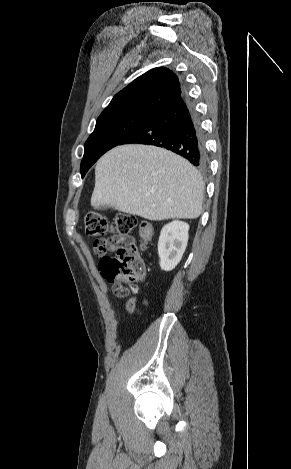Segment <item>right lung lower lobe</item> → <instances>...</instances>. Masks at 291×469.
Masks as SVG:
<instances>
[{
	"instance_id": "obj_1",
	"label": "right lung lower lobe",
	"mask_w": 291,
	"mask_h": 469,
	"mask_svg": "<svg viewBox=\"0 0 291 469\" xmlns=\"http://www.w3.org/2000/svg\"><path fill=\"white\" fill-rule=\"evenodd\" d=\"M183 93L166 103L118 145L140 143L171 150L194 166H207L204 135L184 84Z\"/></svg>"
}]
</instances>
